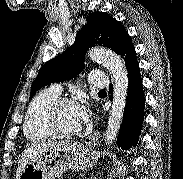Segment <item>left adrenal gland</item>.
<instances>
[{"label":"left adrenal gland","instance_id":"obj_1","mask_svg":"<svg viewBox=\"0 0 183 179\" xmlns=\"http://www.w3.org/2000/svg\"><path fill=\"white\" fill-rule=\"evenodd\" d=\"M90 179H92V178H90ZM93 179H97L96 177H94Z\"/></svg>","mask_w":183,"mask_h":179}]
</instances>
